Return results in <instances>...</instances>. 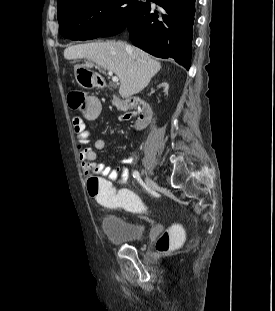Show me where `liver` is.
<instances>
[{
	"label": "liver",
	"mask_w": 275,
	"mask_h": 311,
	"mask_svg": "<svg viewBox=\"0 0 275 311\" xmlns=\"http://www.w3.org/2000/svg\"><path fill=\"white\" fill-rule=\"evenodd\" d=\"M64 58L90 61L75 68H91L95 64L115 73L120 80L119 94L122 98L141 92L161 69V64L146 52L121 41L70 46L64 50Z\"/></svg>",
	"instance_id": "6515ba94"
}]
</instances>
